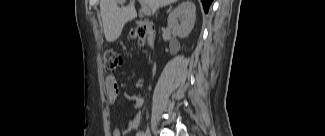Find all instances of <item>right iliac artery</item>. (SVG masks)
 <instances>
[{
  "mask_svg": "<svg viewBox=\"0 0 325 136\" xmlns=\"http://www.w3.org/2000/svg\"><path fill=\"white\" fill-rule=\"evenodd\" d=\"M137 136H146V133H144V132H138L137 133Z\"/></svg>",
  "mask_w": 325,
  "mask_h": 136,
  "instance_id": "obj_1",
  "label": "right iliac artery"
}]
</instances>
